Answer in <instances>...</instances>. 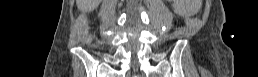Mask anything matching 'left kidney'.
Here are the masks:
<instances>
[{
	"label": "left kidney",
	"mask_w": 258,
	"mask_h": 77,
	"mask_svg": "<svg viewBox=\"0 0 258 77\" xmlns=\"http://www.w3.org/2000/svg\"><path fill=\"white\" fill-rule=\"evenodd\" d=\"M174 2V11L180 16H190L195 11L194 8L190 6V0H174Z\"/></svg>",
	"instance_id": "obj_1"
}]
</instances>
